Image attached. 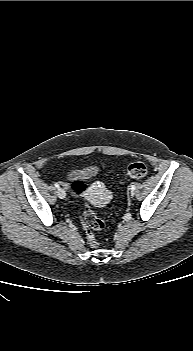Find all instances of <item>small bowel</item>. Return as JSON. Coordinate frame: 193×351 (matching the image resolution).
<instances>
[{
  "label": "small bowel",
  "instance_id": "obj_1",
  "mask_svg": "<svg viewBox=\"0 0 193 351\" xmlns=\"http://www.w3.org/2000/svg\"><path fill=\"white\" fill-rule=\"evenodd\" d=\"M97 172V169L95 167L88 168L84 171H76L70 174L69 178L70 179H76L80 177H89L94 175Z\"/></svg>",
  "mask_w": 193,
  "mask_h": 351
}]
</instances>
